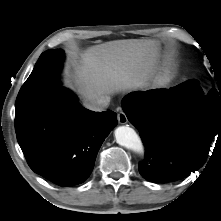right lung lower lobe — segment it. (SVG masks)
Masks as SVG:
<instances>
[{
  "label": "right lung lower lobe",
  "mask_w": 221,
  "mask_h": 221,
  "mask_svg": "<svg viewBox=\"0 0 221 221\" xmlns=\"http://www.w3.org/2000/svg\"><path fill=\"white\" fill-rule=\"evenodd\" d=\"M53 81L51 75L31 73L19 93L47 83L50 88L37 113L15 130L30 168L68 187L89 177L100 146L117 124V115L83 108L75 95L61 87L58 80Z\"/></svg>",
  "instance_id": "98d812e1"
}]
</instances>
